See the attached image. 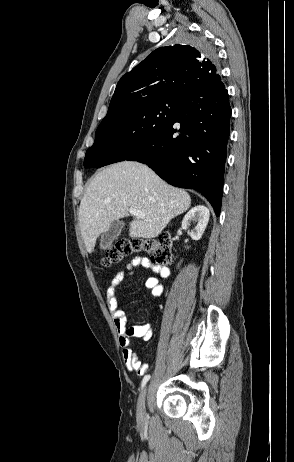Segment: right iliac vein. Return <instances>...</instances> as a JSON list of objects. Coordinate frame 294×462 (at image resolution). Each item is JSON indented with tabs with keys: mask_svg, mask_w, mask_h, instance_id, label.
I'll list each match as a JSON object with an SVG mask.
<instances>
[{
	"mask_svg": "<svg viewBox=\"0 0 294 462\" xmlns=\"http://www.w3.org/2000/svg\"><path fill=\"white\" fill-rule=\"evenodd\" d=\"M147 388H145L138 399L137 403V418L139 422H143L145 420L146 412H145V398H146Z\"/></svg>",
	"mask_w": 294,
	"mask_h": 462,
	"instance_id": "right-iliac-vein-1",
	"label": "right iliac vein"
}]
</instances>
